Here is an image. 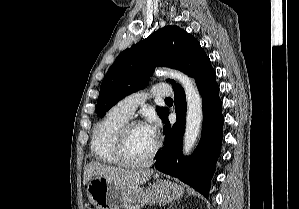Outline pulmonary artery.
Listing matches in <instances>:
<instances>
[{
  "mask_svg": "<svg viewBox=\"0 0 299 209\" xmlns=\"http://www.w3.org/2000/svg\"><path fill=\"white\" fill-rule=\"evenodd\" d=\"M171 93L172 89L168 84L158 83L150 90H140L124 97L117 103L116 108L123 115L131 118L136 108L149 97H169Z\"/></svg>",
  "mask_w": 299,
  "mask_h": 209,
  "instance_id": "e3ab8cb5",
  "label": "pulmonary artery"
}]
</instances>
